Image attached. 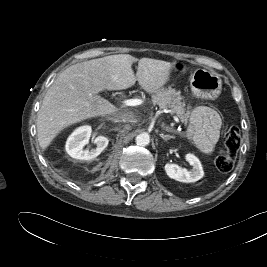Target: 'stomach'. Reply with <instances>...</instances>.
I'll return each instance as SVG.
<instances>
[{"instance_id":"stomach-1","label":"stomach","mask_w":267,"mask_h":267,"mask_svg":"<svg viewBox=\"0 0 267 267\" xmlns=\"http://www.w3.org/2000/svg\"><path fill=\"white\" fill-rule=\"evenodd\" d=\"M173 69L178 72H183L185 66L175 63L173 64ZM190 86L196 98L214 100L221 94L222 80L213 72L197 69L191 76Z\"/></svg>"}]
</instances>
